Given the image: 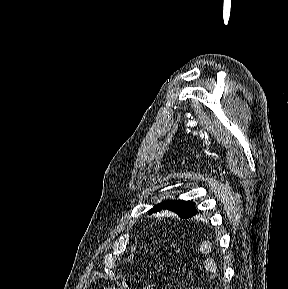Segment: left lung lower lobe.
Listing matches in <instances>:
<instances>
[{"label":"left lung lower lobe","mask_w":288,"mask_h":289,"mask_svg":"<svg viewBox=\"0 0 288 289\" xmlns=\"http://www.w3.org/2000/svg\"><path fill=\"white\" fill-rule=\"evenodd\" d=\"M196 212H197V211L195 210L188 218L194 216V215L196 214Z\"/></svg>","instance_id":"1"}]
</instances>
